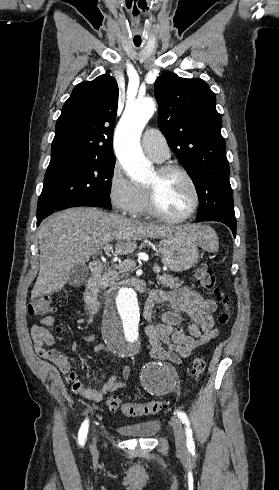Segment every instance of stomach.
Instances as JSON below:
<instances>
[{"instance_id":"stomach-1","label":"stomach","mask_w":279,"mask_h":490,"mask_svg":"<svg viewBox=\"0 0 279 490\" xmlns=\"http://www.w3.org/2000/svg\"><path fill=\"white\" fill-rule=\"evenodd\" d=\"M196 240L171 232L163 238L159 254L164 266L171 272H187L199 262V252Z\"/></svg>"}]
</instances>
